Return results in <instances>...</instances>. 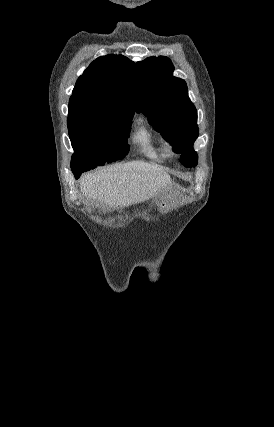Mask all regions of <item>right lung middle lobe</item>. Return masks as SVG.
<instances>
[{
  "instance_id": "1",
  "label": "right lung middle lobe",
  "mask_w": 274,
  "mask_h": 427,
  "mask_svg": "<svg viewBox=\"0 0 274 427\" xmlns=\"http://www.w3.org/2000/svg\"><path fill=\"white\" fill-rule=\"evenodd\" d=\"M133 114L134 110L119 107L69 111L67 124L74 148L71 166L90 169L122 159L129 150Z\"/></svg>"
}]
</instances>
